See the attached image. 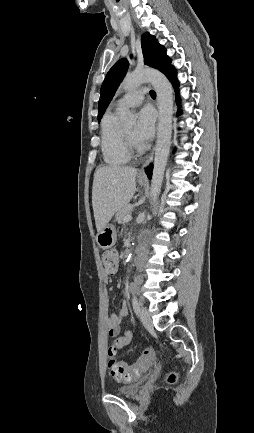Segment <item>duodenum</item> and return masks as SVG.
I'll return each instance as SVG.
<instances>
[{"instance_id": "1", "label": "duodenum", "mask_w": 254, "mask_h": 433, "mask_svg": "<svg viewBox=\"0 0 254 433\" xmlns=\"http://www.w3.org/2000/svg\"><path fill=\"white\" fill-rule=\"evenodd\" d=\"M130 247H131V246H130V243H129V242H127V243H126V251H127V252H129V251H130Z\"/></svg>"}]
</instances>
